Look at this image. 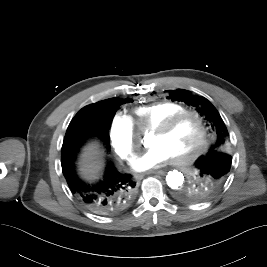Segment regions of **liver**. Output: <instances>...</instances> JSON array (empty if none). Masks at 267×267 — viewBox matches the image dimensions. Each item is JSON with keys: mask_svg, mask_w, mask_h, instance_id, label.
Instances as JSON below:
<instances>
[{"mask_svg": "<svg viewBox=\"0 0 267 267\" xmlns=\"http://www.w3.org/2000/svg\"><path fill=\"white\" fill-rule=\"evenodd\" d=\"M101 164V152L99 151L97 145H89L82 154L80 162V170L82 171V174L88 178L94 177L101 168Z\"/></svg>", "mask_w": 267, "mask_h": 267, "instance_id": "obj_1", "label": "liver"}]
</instances>
